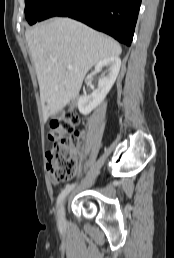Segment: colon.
<instances>
[{
	"label": "colon",
	"instance_id": "colon-1",
	"mask_svg": "<svg viewBox=\"0 0 174 258\" xmlns=\"http://www.w3.org/2000/svg\"><path fill=\"white\" fill-rule=\"evenodd\" d=\"M78 122L77 115L68 112L64 118L50 123L48 137L53 145L47 152V160L53 176L59 180L71 178L77 170Z\"/></svg>",
	"mask_w": 174,
	"mask_h": 258
}]
</instances>
